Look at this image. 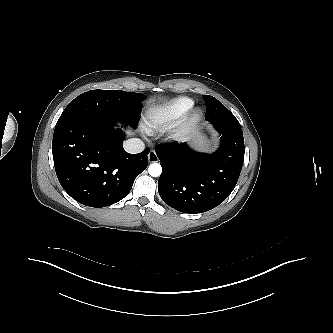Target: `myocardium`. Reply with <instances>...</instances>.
Wrapping results in <instances>:
<instances>
[{"label":"myocardium","mask_w":333,"mask_h":333,"mask_svg":"<svg viewBox=\"0 0 333 333\" xmlns=\"http://www.w3.org/2000/svg\"><path fill=\"white\" fill-rule=\"evenodd\" d=\"M201 117H202L201 110L191 109L184 116L179 127L175 131L174 136L179 137V136H182L183 134L187 133L191 128H193L200 121Z\"/></svg>","instance_id":"f54148a6"}]
</instances>
